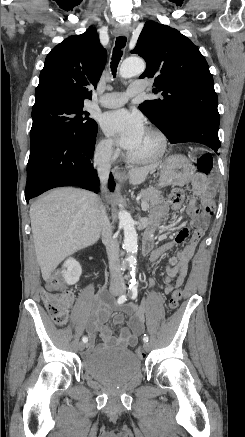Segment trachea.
I'll use <instances>...</instances> for the list:
<instances>
[{
    "label": "trachea",
    "mask_w": 245,
    "mask_h": 437,
    "mask_svg": "<svg viewBox=\"0 0 245 437\" xmlns=\"http://www.w3.org/2000/svg\"><path fill=\"white\" fill-rule=\"evenodd\" d=\"M126 45V37H118L116 38L115 47L113 49L112 61H111V71L113 76H116L117 67L119 61L123 55V48Z\"/></svg>",
    "instance_id": "3493384b"
}]
</instances>
